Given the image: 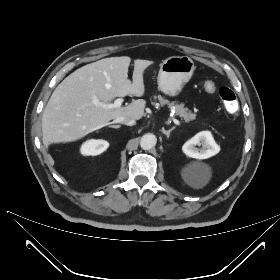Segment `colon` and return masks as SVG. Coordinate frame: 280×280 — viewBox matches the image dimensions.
Here are the masks:
<instances>
[{"label":"colon","mask_w":280,"mask_h":280,"mask_svg":"<svg viewBox=\"0 0 280 280\" xmlns=\"http://www.w3.org/2000/svg\"><path fill=\"white\" fill-rule=\"evenodd\" d=\"M204 89L208 93H213L216 90V86L214 82L207 80L204 82ZM218 93L226 111L235 113L238 110V101L235 93L229 87H220Z\"/></svg>","instance_id":"5ec220e1"}]
</instances>
